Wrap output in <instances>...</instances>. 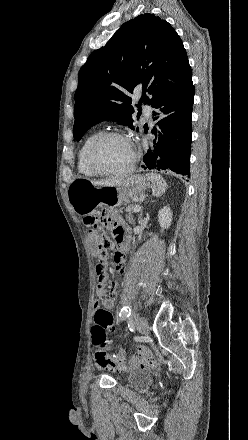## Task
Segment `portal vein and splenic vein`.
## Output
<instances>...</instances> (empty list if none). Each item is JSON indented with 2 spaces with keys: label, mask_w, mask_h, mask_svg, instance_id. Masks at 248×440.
<instances>
[{
  "label": "portal vein and splenic vein",
  "mask_w": 248,
  "mask_h": 440,
  "mask_svg": "<svg viewBox=\"0 0 248 440\" xmlns=\"http://www.w3.org/2000/svg\"><path fill=\"white\" fill-rule=\"evenodd\" d=\"M132 210L134 211V212H140V210H141V207H140V205H135L133 208H132Z\"/></svg>",
  "instance_id": "1"
}]
</instances>
